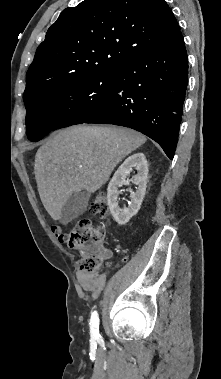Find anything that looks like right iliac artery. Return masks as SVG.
Masks as SVG:
<instances>
[{"mask_svg":"<svg viewBox=\"0 0 221 379\" xmlns=\"http://www.w3.org/2000/svg\"><path fill=\"white\" fill-rule=\"evenodd\" d=\"M90 333L92 337L97 338L99 336V319L97 311H94L90 319Z\"/></svg>","mask_w":221,"mask_h":379,"instance_id":"1","label":"right iliac artery"}]
</instances>
